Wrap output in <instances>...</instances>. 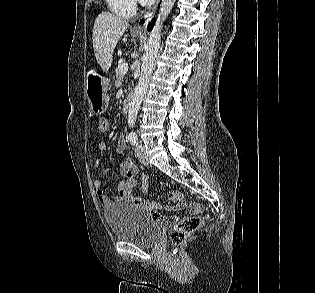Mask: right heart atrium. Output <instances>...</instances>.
I'll return each instance as SVG.
<instances>
[{
	"mask_svg": "<svg viewBox=\"0 0 315 293\" xmlns=\"http://www.w3.org/2000/svg\"><path fill=\"white\" fill-rule=\"evenodd\" d=\"M135 3H140L142 0H134Z\"/></svg>",
	"mask_w": 315,
	"mask_h": 293,
	"instance_id": "1",
	"label": "right heart atrium"
}]
</instances>
